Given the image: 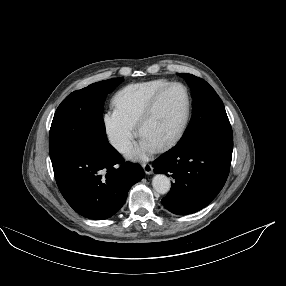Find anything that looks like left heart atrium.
I'll list each match as a JSON object with an SVG mask.
<instances>
[{
	"mask_svg": "<svg viewBox=\"0 0 286 286\" xmlns=\"http://www.w3.org/2000/svg\"><path fill=\"white\" fill-rule=\"evenodd\" d=\"M155 151V146L150 143L147 139L141 136L139 143L129 149L124 153L126 157L135 160L146 159L150 154Z\"/></svg>",
	"mask_w": 286,
	"mask_h": 286,
	"instance_id": "39dd6f15",
	"label": "left heart atrium"
}]
</instances>
